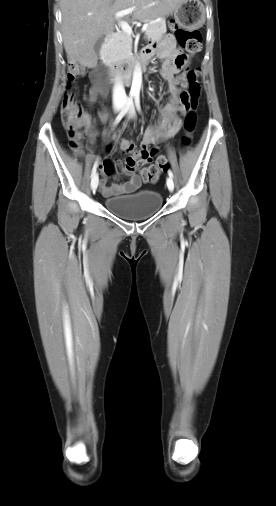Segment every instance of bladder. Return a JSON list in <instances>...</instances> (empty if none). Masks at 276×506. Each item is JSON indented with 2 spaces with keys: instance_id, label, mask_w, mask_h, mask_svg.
I'll return each instance as SVG.
<instances>
[{
  "instance_id": "bladder-1",
  "label": "bladder",
  "mask_w": 276,
  "mask_h": 506,
  "mask_svg": "<svg viewBox=\"0 0 276 506\" xmlns=\"http://www.w3.org/2000/svg\"><path fill=\"white\" fill-rule=\"evenodd\" d=\"M162 203V195L154 190H140L104 200L110 212L126 219H141L153 215L161 208Z\"/></svg>"
}]
</instances>
